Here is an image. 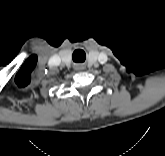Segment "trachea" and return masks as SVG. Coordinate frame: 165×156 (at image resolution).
<instances>
[{
  "label": "trachea",
  "instance_id": "3493384b",
  "mask_svg": "<svg viewBox=\"0 0 165 156\" xmlns=\"http://www.w3.org/2000/svg\"><path fill=\"white\" fill-rule=\"evenodd\" d=\"M85 52L83 50H75L73 55H72V59L75 62H83L85 60Z\"/></svg>",
  "mask_w": 165,
  "mask_h": 156
}]
</instances>
